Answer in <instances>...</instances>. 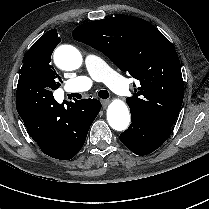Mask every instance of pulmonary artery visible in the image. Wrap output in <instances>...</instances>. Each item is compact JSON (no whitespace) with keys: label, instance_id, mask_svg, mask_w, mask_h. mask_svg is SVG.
<instances>
[{"label":"pulmonary artery","instance_id":"e3ab8cb5","mask_svg":"<svg viewBox=\"0 0 209 209\" xmlns=\"http://www.w3.org/2000/svg\"><path fill=\"white\" fill-rule=\"evenodd\" d=\"M85 69V74L67 82V91L84 92L89 90L94 82H106L117 95L129 92L127 85L99 55L86 53Z\"/></svg>","mask_w":209,"mask_h":209}]
</instances>
